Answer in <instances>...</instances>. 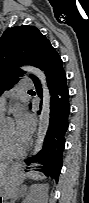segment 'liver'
Masks as SVG:
<instances>
[{
  "instance_id": "6515ba94",
  "label": "liver",
  "mask_w": 89,
  "mask_h": 203,
  "mask_svg": "<svg viewBox=\"0 0 89 203\" xmlns=\"http://www.w3.org/2000/svg\"><path fill=\"white\" fill-rule=\"evenodd\" d=\"M7 164H1L0 166V174L3 177L4 173L6 172Z\"/></svg>"
}]
</instances>
